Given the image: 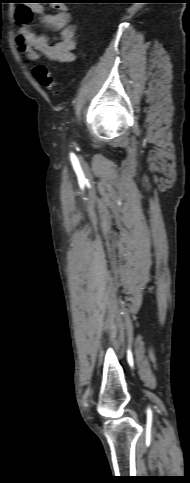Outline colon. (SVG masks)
I'll use <instances>...</instances> for the list:
<instances>
[{
	"label": "colon",
	"mask_w": 190,
	"mask_h": 483,
	"mask_svg": "<svg viewBox=\"0 0 190 483\" xmlns=\"http://www.w3.org/2000/svg\"><path fill=\"white\" fill-rule=\"evenodd\" d=\"M33 76L39 83L52 93H59L62 89L61 82L56 79L42 63H38L32 68Z\"/></svg>",
	"instance_id": "5ec220e1"
}]
</instances>
